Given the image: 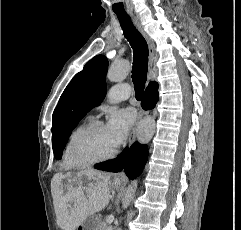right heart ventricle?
<instances>
[{
	"label": "right heart ventricle",
	"instance_id": "e07e8e85",
	"mask_svg": "<svg viewBox=\"0 0 241 230\" xmlns=\"http://www.w3.org/2000/svg\"><path fill=\"white\" fill-rule=\"evenodd\" d=\"M89 122V119L85 120L84 122L77 125L69 134L67 141L64 145V149L62 152V167L65 169H73L78 167L72 160L71 154H70V148L73 139L77 135V133Z\"/></svg>",
	"mask_w": 241,
	"mask_h": 230
}]
</instances>
